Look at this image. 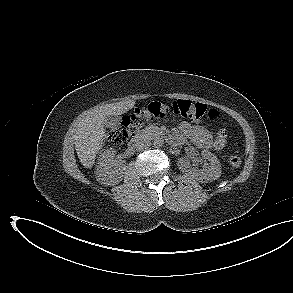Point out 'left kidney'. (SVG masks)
Listing matches in <instances>:
<instances>
[{
  "label": "left kidney",
  "instance_id": "left-kidney-1",
  "mask_svg": "<svg viewBox=\"0 0 293 293\" xmlns=\"http://www.w3.org/2000/svg\"><path fill=\"white\" fill-rule=\"evenodd\" d=\"M202 157L209 161L202 169H195L190 166V161L185 158L178 160L179 169L186 175L200 182H211L221 176V164L218 158L211 152L203 151Z\"/></svg>",
  "mask_w": 293,
  "mask_h": 293
}]
</instances>
